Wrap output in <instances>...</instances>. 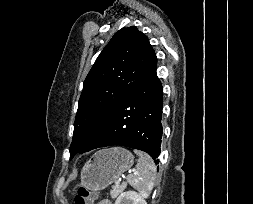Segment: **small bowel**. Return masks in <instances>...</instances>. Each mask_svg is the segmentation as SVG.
Instances as JSON below:
<instances>
[{
    "mask_svg": "<svg viewBox=\"0 0 253 204\" xmlns=\"http://www.w3.org/2000/svg\"><path fill=\"white\" fill-rule=\"evenodd\" d=\"M97 204H112V202L110 200L104 199L99 201Z\"/></svg>",
    "mask_w": 253,
    "mask_h": 204,
    "instance_id": "1",
    "label": "small bowel"
}]
</instances>
